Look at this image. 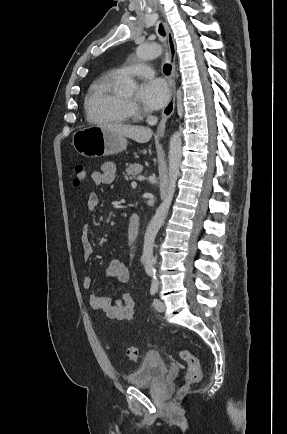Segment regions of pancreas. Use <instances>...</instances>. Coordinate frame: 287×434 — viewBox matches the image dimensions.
<instances>
[{"mask_svg": "<svg viewBox=\"0 0 287 434\" xmlns=\"http://www.w3.org/2000/svg\"><path fill=\"white\" fill-rule=\"evenodd\" d=\"M143 170L142 165L134 163L127 164L126 173L130 180L135 179L137 175H140Z\"/></svg>", "mask_w": 287, "mask_h": 434, "instance_id": "pancreas-1", "label": "pancreas"}]
</instances>
